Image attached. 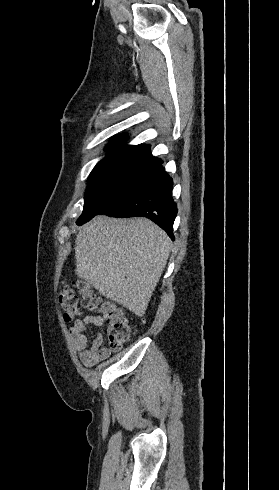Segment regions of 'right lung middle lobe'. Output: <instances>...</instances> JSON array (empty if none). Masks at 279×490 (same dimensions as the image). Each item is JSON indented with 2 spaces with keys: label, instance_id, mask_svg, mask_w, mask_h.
<instances>
[{
  "label": "right lung middle lobe",
  "instance_id": "1",
  "mask_svg": "<svg viewBox=\"0 0 279 490\" xmlns=\"http://www.w3.org/2000/svg\"><path fill=\"white\" fill-rule=\"evenodd\" d=\"M160 169V164L123 161L97 164L88 178L84 208L77 225L80 226L99 214L104 202L113 193L151 178Z\"/></svg>",
  "mask_w": 279,
  "mask_h": 490
}]
</instances>
